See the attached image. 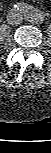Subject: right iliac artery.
I'll list each match as a JSON object with an SVG mask.
<instances>
[{
	"label": "right iliac artery",
	"mask_w": 51,
	"mask_h": 153,
	"mask_svg": "<svg viewBox=\"0 0 51 153\" xmlns=\"http://www.w3.org/2000/svg\"><path fill=\"white\" fill-rule=\"evenodd\" d=\"M13 8L16 10H19V11H24V12H28L32 9L31 6H29L28 4H26L24 2L14 4Z\"/></svg>",
	"instance_id": "1"
}]
</instances>
